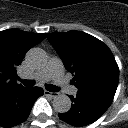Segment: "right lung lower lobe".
<instances>
[{"instance_id":"1","label":"right lung lower lobe","mask_w":128,"mask_h":128,"mask_svg":"<svg viewBox=\"0 0 128 128\" xmlns=\"http://www.w3.org/2000/svg\"><path fill=\"white\" fill-rule=\"evenodd\" d=\"M42 88L20 87L0 100V126L9 128L24 122L35 100L43 95Z\"/></svg>"}]
</instances>
